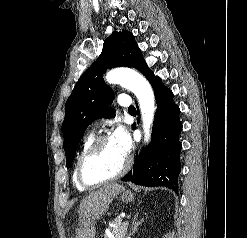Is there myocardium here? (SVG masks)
Returning a JSON list of instances; mask_svg holds the SVG:
<instances>
[{"label": "myocardium", "instance_id": "f54148a6", "mask_svg": "<svg viewBox=\"0 0 247 238\" xmlns=\"http://www.w3.org/2000/svg\"><path fill=\"white\" fill-rule=\"evenodd\" d=\"M110 136L108 135H101L97 138H95L92 143L89 145V147L84 151V153L81 155L78 164H77V179L79 183L87 188L100 186L102 184L109 183L111 181L117 180L123 175L127 173V171L130 169L131 166V158L129 156H126L125 163L123 167L114 175L97 179V180H90L87 178L85 174V167L88 161L95 155V153L99 150V148L104 144L106 141L110 140Z\"/></svg>", "mask_w": 247, "mask_h": 238}]
</instances>
